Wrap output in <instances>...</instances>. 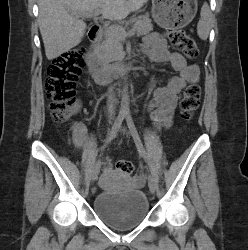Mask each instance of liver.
Returning <instances> with one entry per match:
<instances>
[{
	"instance_id": "liver-1",
	"label": "liver",
	"mask_w": 248,
	"mask_h": 250,
	"mask_svg": "<svg viewBox=\"0 0 248 250\" xmlns=\"http://www.w3.org/2000/svg\"><path fill=\"white\" fill-rule=\"evenodd\" d=\"M147 1L38 0V23L47 59L53 60L81 42L86 29L82 14L100 10L107 19L122 20Z\"/></svg>"
}]
</instances>
